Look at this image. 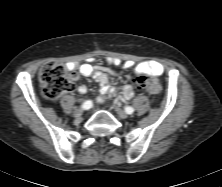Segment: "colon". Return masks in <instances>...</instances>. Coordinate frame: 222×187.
Wrapping results in <instances>:
<instances>
[{
  "label": "colon",
  "mask_w": 222,
  "mask_h": 187,
  "mask_svg": "<svg viewBox=\"0 0 222 187\" xmlns=\"http://www.w3.org/2000/svg\"><path fill=\"white\" fill-rule=\"evenodd\" d=\"M75 73L68 71L62 64L51 62L46 64L39 74L43 93L48 99H56L73 89ZM138 86L150 94L159 90L157 82L151 77L140 75L136 79Z\"/></svg>",
  "instance_id": "5ec220e1"
}]
</instances>
